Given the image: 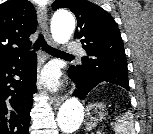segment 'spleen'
<instances>
[{
  "mask_svg": "<svg viewBox=\"0 0 153 134\" xmlns=\"http://www.w3.org/2000/svg\"><path fill=\"white\" fill-rule=\"evenodd\" d=\"M115 134H135L133 115L131 112L122 114L114 124Z\"/></svg>",
  "mask_w": 153,
  "mask_h": 134,
  "instance_id": "1",
  "label": "spleen"
}]
</instances>
